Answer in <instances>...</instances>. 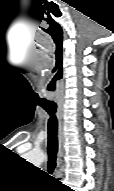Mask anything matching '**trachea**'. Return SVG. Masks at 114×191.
Masks as SVG:
<instances>
[{
	"instance_id": "1",
	"label": "trachea",
	"mask_w": 114,
	"mask_h": 191,
	"mask_svg": "<svg viewBox=\"0 0 114 191\" xmlns=\"http://www.w3.org/2000/svg\"><path fill=\"white\" fill-rule=\"evenodd\" d=\"M50 118L48 120V164L47 169L49 173H52L56 167V159H57V152H58V121L56 117V109L52 108H44Z\"/></svg>"
}]
</instances>
